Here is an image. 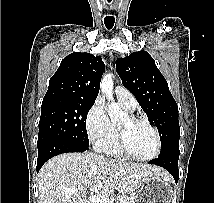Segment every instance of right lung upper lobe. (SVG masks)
Listing matches in <instances>:
<instances>
[{
    "label": "right lung upper lobe",
    "instance_id": "right-lung-upper-lobe-1",
    "mask_svg": "<svg viewBox=\"0 0 214 203\" xmlns=\"http://www.w3.org/2000/svg\"><path fill=\"white\" fill-rule=\"evenodd\" d=\"M105 65L100 56L74 52L66 56L49 81L44 99L95 101Z\"/></svg>",
    "mask_w": 214,
    "mask_h": 203
}]
</instances>
